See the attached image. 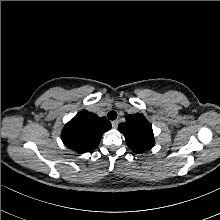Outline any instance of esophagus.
<instances>
[{
    "label": "esophagus",
    "mask_w": 220,
    "mask_h": 220,
    "mask_svg": "<svg viewBox=\"0 0 220 220\" xmlns=\"http://www.w3.org/2000/svg\"><path fill=\"white\" fill-rule=\"evenodd\" d=\"M118 124H119V121H118V120L112 121V127H113V128H117V127H118Z\"/></svg>",
    "instance_id": "esophagus-1"
}]
</instances>
